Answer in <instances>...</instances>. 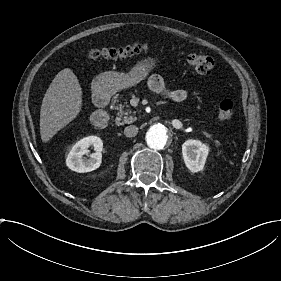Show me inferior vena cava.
Listing matches in <instances>:
<instances>
[{"label":"inferior vena cava","instance_id":"602c4592","mask_svg":"<svg viewBox=\"0 0 281 281\" xmlns=\"http://www.w3.org/2000/svg\"><path fill=\"white\" fill-rule=\"evenodd\" d=\"M138 133V127L135 125H129L124 129V135L126 137H134Z\"/></svg>","mask_w":281,"mask_h":281}]
</instances>
